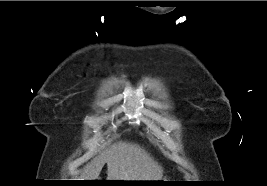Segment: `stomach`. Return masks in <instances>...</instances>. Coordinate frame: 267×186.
Returning a JSON list of instances; mask_svg holds the SVG:
<instances>
[{
	"label": "stomach",
	"mask_w": 267,
	"mask_h": 186,
	"mask_svg": "<svg viewBox=\"0 0 267 186\" xmlns=\"http://www.w3.org/2000/svg\"><path fill=\"white\" fill-rule=\"evenodd\" d=\"M158 181H166V180H158Z\"/></svg>",
	"instance_id": "stomach-1"
}]
</instances>
